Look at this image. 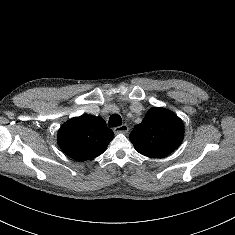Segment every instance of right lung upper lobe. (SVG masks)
<instances>
[{"label": "right lung upper lobe", "instance_id": "cb5924a9", "mask_svg": "<svg viewBox=\"0 0 235 235\" xmlns=\"http://www.w3.org/2000/svg\"><path fill=\"white\" fill-rule=\"evenodd\" d=\"M114 133L101 117L82 115L65 122L58 131V144L76 160H90L101 155Z\"/></svg>", "mask_w": 235, "mask_h": 235}]
</instances>
